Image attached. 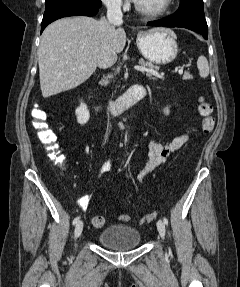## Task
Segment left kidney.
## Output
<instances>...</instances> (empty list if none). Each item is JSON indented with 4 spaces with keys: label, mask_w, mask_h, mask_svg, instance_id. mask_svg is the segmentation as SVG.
Wrapping results in <instances>:
<instances>
[{
    "label": "left kidney",
    "mask_w": 240,
    "mask_h": 287,
    "mask_svg": "<svg viewBox=\"0 0 240 287\" xmlns=\"http://www.w3.org/2000/svg\"><path fill=\"white\" fill-rule=\"evenodd\" d=\"M164 113H165L166 115L169 114V109H168V107H166V108L164 109Z\"/></svg>",
    "instance_id": "obj_1"
}]
</instances>
